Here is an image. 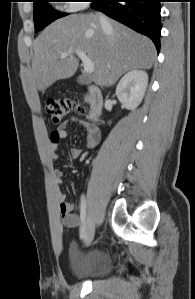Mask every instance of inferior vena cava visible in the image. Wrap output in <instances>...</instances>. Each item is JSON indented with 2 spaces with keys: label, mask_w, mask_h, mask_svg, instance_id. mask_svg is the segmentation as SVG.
I'll return each instance as SVG.
<instances>
[{
  "label": "inferior vena cava",
  "mask_w": 195,
  "mask_h": 299,
  "mask_svg": "<svg viewBox=\"0 0 195 299\" xmlns=\"http://www.w3.org/2000/svg\"><path fill=\"white\" fill-rule=\"evenodd\" d=\"M97 15L99 17V21H100L102 29L105 32H110L111 28H112L110 20L105 15H103L102 13H97Z\"/></svg>",
  "instance_id": "1"
}]
</instances>
